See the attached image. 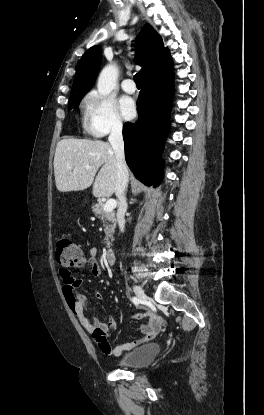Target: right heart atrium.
I'll use <instances>...</instances> for the list:
<instances>
[{
	"label": "right heart atrium",
	"instance_id": "d8ad5b80",
	"mask_svg": "<svg viewBox=\"0 0 264 415\" xmlns=\"http://www.w3.org/2000/svg\"><path fill=\"white\" fill-rule=\"evenodd\" d=\"M86 106L87 125L92 134L104 136L122 130V119L110 98L93 92L87 97Z\"/></svg>",
	"mask_w": 264,
	"mask_h": 415
}]
</instances>
